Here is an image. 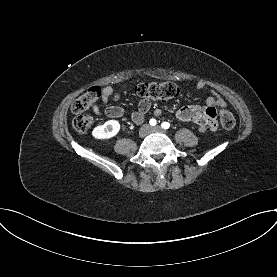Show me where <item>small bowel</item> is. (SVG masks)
<instances>
[{"label": "small bowel", "instance_id": "c3829d8e", "mask_svg": "<svg viewBox=\"0 0 277 277\" xmlns=\"http://www.w3.org/2000/svg\"><path fill=\"white\" fill-rule=\"evenodd\" d=\"M197 88L199 90H209L210 96L207 98L206 104L204 106H184L177 110L176 117L181 121L196 124L200 131H205L206 129L216 130V108L225 107L226 103L223 97L216 91L210 89L205 82L199 81ZM101 99L103 103L108 104L110 100L119 101L120 95L112 86L108 85L101 89ZM150 107V100H141L138 108L130 115L132 122L136 125L142 124L145 119V114L149 111ZM93 111L97 115L104 114L109 118H120L124 114L123 108L117 105H107L104 110H101L97 105H93ZM162 114L161 109L154 111L156 117H160Z\"/></svg>", "mask_w": 277, "mask_h": 277}]
</instances>
